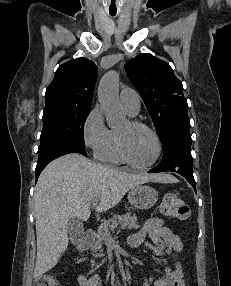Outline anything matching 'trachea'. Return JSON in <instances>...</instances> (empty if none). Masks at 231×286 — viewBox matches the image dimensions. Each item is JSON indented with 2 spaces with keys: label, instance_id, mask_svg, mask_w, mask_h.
<instances>
[{
  "label": "trachea",
  "instance_id": "1",
  "mask_svg": "<svg viewBox=\"0 0 231 286\" xmlns=\"http://www.w3.org/2000/svg\"><path fill=\"white\" fill-rule=\"evenodd\" d=\"M110 15H111V16H115L116 14H115V13H110Z\"/></svg>",
  "mask_w": 231,
  "mask_h": 286
}]
</instances>
